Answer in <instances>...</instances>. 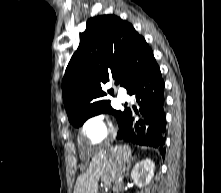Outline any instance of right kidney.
I'll return each mask as SVG.
<instances>
[{
  "label": "right kidney",
  "instance_id": "right-kidney-1",
  "mask_svg": "<svg viewBox=\"0 0 221 193\" xmlns=\"http://www.w3.org/2000/svg\"><path fill=\"white\" fill-rule=\"evenodd\" d=\"M154 168V162L148 158L138 162L131 172L133 182L139 187L149 184L154 176Z\"/></svg>",
  "mask_w": 221,
  "mask_h": 193
}]
</instances>
